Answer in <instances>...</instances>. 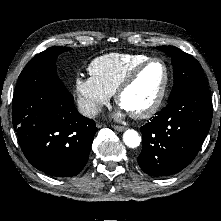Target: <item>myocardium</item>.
<instances>
[{"label":"myocardium","mask_w":221,"mask_h":221,"mask_svg":"<svg viewBox=\"0 0 221 221\" xmlns=\"http://www.w3.org/2000/svg\"><path fill=\"white\" fill-rule=\"evenodd\" d=\"M160 63L162 64L164 68V80L161 85V88L158 92V95L156 96L155 100L152 102L150 106L145 108L144 110L138 111V112H130L131 116L134 118L138 119H144V118H149L152 115H154L160 108V106L163 103V100L165 98V95L167 93V89L169 86V81H170V71L167 63L158 57H150L146 59L145 61L139 63L136 65L123 79V81L120 83L118 88L115 91V101L118 105L121 106V98L123 94L132 86V84L135 82L139 74L151 63Z\"/></svg>","instance_id":"1"}]
</instances>
